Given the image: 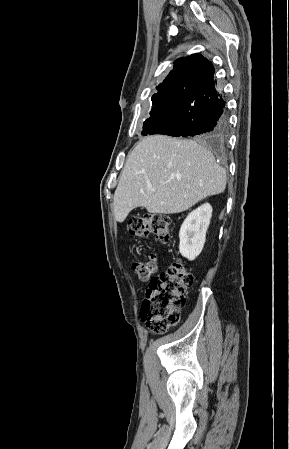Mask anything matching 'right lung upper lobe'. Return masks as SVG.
Returning <instances> with one entry per match:
<instances>
[{
    "label": "right lung upper lobe",
    "mask_w": 289,
    "mask_h": 449,
    "mask_svg": "<svg viewBox=\"0 0 289 449\" xmlns=\"http://www.w3.org/2000/svg\"><path fill=\"white\" fill-rule=\"evenodd\" d=\"M214 74V68L207 58L200 54H192L174 61V68L169 72L164 82L157 87L158 93H168L171 86L179 80H207Z\"/></svg>",
    "instance_id": "1"
}]
</instances>
